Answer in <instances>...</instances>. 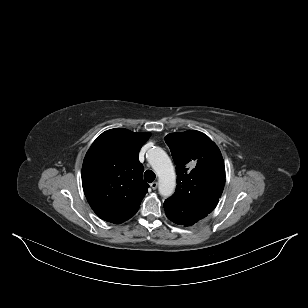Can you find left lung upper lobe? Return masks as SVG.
<instances>
[{"mask_svg": "<svg viewBox=\"0 0 308 308\" xmlns=\"http://www.w3.org/2000/svg\"><path fill=\"white\" fill-rule=\"evenodd\" d=\"M164 139L177 174L176 191L165 200L164 209L174 223L189 225L217 206L225 185L224 161L216 144L199 131L171 133Z\"/></svg>", "mask_w": 308, "mask_h": 308, "instance_id": "1", "label": "left lung upper lobe"}]
</instances>
